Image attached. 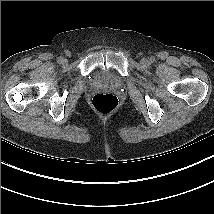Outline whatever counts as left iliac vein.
Here are the masks:
<instances>
[{"mask_svg": "<svg viewBox=\"0 0 214 214\" xmlns=\"http://www.w3.org/2000/svg\"><path fill=\"white\" fill-rule=\"evenodd\" d=\"M141 63H142L143 65H148V64H149V61H148L146 58H143V59L141 60Z\"/></svg>", "mask_w": 214, "mask_h": 214, "instance_id": "1", "label": "left iliac vein"}]
</instances>
